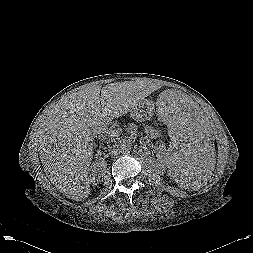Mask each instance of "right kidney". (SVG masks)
Here are the masks:
<instances>
[{
  "instance_id": "obj_1",
  "label": "right kidney",
  "mask_w": 253,
  "mask_h": 253,
  "mask_svg": "<svg viewBox=\"0 0 253 253\" xmlns=\"http://www.w3.org/2000/svg\"><path fill=\"white\" fill-rule=\"evenodd\" d=\"M92 172H93V173H92L93 177L91 178V181H92V182H95V177H96V175H95V169H94V168L92 169Z\"/></svg>"
}]
</instances>
